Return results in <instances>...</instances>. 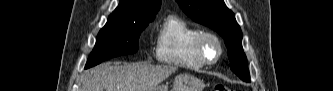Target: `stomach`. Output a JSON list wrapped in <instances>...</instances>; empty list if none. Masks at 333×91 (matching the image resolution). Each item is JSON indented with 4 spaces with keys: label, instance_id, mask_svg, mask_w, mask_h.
<instances>
[{
    "label": "stomach",
    "instance_id": "1",
    "mask_svg": "<svg viewBox=\"0 0 333 91\" xmlns=\"http://www.w3.org/2000/svg\"><path fill=\"white\" fill-rule=\"evenodd\" d=\"M203 82L189 74H180L176 76L171 91H202ZM154 91H168L167 86H157Z\"/></svg>",
    "mask_w": 333,
    "mask_h": 91
}]
</instances>
